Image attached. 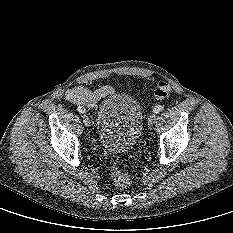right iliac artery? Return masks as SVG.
<instances>
[{
  "mask_svg": "<svg viewBox=\"0 0 233 233\" xmlns=\"http://www.w3.org/2000/svg\"><path fill=\"white\" fill-rule=\"evenodd\" d=\"M77 111H79L80 113H85V108L79 106V107L77 108Z\"/></svg>",
  "mask_w": 233,
  "mask_h": 233,
  "instance_id": "1",
  "label": "right iliac artery"
}]
</instances>
